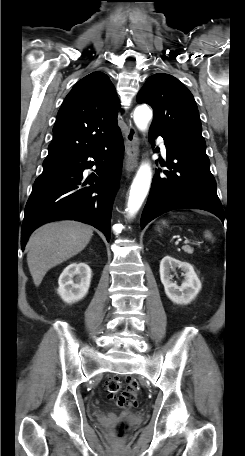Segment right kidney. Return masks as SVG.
Masks as SVG:
<instances>
[{
  "instance_id": "right-kidney-1",
  "label": "right kidney",
  "mask_w": 245,
  "mask_h": 456,
  "mask_svg": "<svg viewBox=\"0 0 245 456\" xmlns=\"http://www.w3.org/2000/svg\"><path fill=\"white\" fill-rule=\"evenodd\" d=\"M91 269L86 263H71L61 273L58 294L66 303L83 299L91 282Z\"/></svg>"
}]
</instances>
